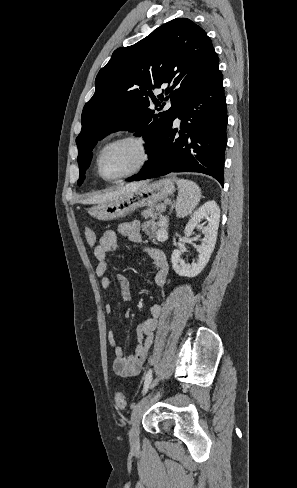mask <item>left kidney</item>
Here are the masks:
<instances>
[{
  "label": "left kidney",
  "instance_id": "left-kidney-1",
  "mask_svg": "<svg viewBox=\"0 0 297 488\" xmlns=\"http://www.w3.org/2000/svg\"><path fill=\"white\" fill-rule=\"evenodd\" d=\"M204 218L208 223L206 226L204 224L201 225L204 237L201 245L197 247V252L199 253L197 261H193L191 264L185 263L181 258L183 250L176 249L172 252V267L179 276H197L207 265L214 250L220 220V209L214 200L206 202L191 215L184 233L189 235Z\"/></svg>",
  "mask_w": 297,
  "mask_h": 488
}]
</instances>
